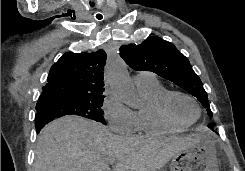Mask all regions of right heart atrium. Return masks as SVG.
<instances>
[{
  "label": "right heart atrium",
  "mask_w": 245,
  "mask_h": 171,
  "mask_svg": "<svg viewBox=\"0 0 245 171\" xmlns=\"http://www.w3.org/2000/svg\"><path fill=\"white\" fill-rule=\"evenodd\" d=\"M102 112L113 132L129 135L137 131V120L134 111L125 106L111 91H107L105 94Z\"/></svg>",
  "instance_id": "1"
}]
</instances>
